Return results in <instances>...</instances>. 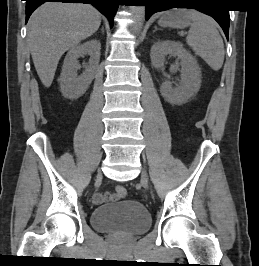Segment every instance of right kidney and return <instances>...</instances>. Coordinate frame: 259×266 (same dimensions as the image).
Returning a JSON list of instances; mask_svg holds the SVG:
<instances>
[{"label":"right kidney","mask_w":259,"mask_h":266,"mask_svg":"<svg viewBox=\"0 0 259 266\" xmlns=\"http://www.w3.org/2000/svg\"><path fill=\"white\" fill-rule=\"evenodd\" d=\"M100 50L101 43L96 39L76 45L69 50L59 79L61 92L65 97L76 99L86 92L94 79L100 61ZM86 54L90 56L89 65L80 76H77V70L80 68L78 58Z\"/></svg>","instance_id":"obj_1"}]
</instances>
